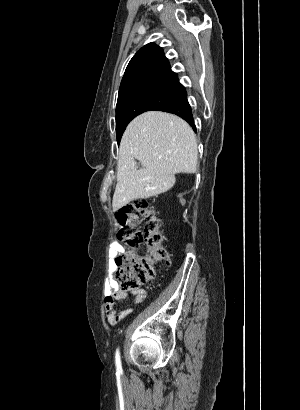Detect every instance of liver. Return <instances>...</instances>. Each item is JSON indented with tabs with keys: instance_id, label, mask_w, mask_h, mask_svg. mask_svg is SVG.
Returning a JSON list of instances; mask_svg holds the SVG:
<instances>
[{
	"instance_id": "obj_1",
	"label": "liver",
	"mask_w": 300,
	"mask_h": 410,
	"mask_svg": "<svg viewBox=\"0 0 300 410\" xmlns=\"http://www.w3.org/2000/svg\"><path fill=\"white\" fill-rule=\"evenodd\" d=\"M197 159L195 134L183 119L160 111L137 116L120 142L113 211L168 191L175 184V174L196 172Z\"/></svg>"
}]
</instances>
